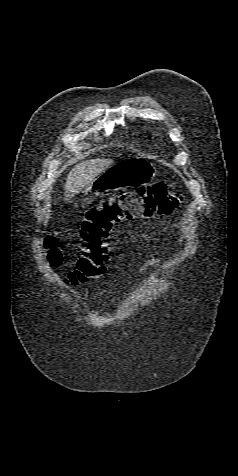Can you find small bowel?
Masks as SVG:
<instances>
[{"label": "small bowel", "instance_id": "obj_1", "mask_svg": "<svg viewBox=\"0 0 238 476\" xmlns=\"http://www.w3.org/2000/svg\"><path fill=\"white\" fill-rule=\"evenodd\" d=\"M119 245H116L113 247V249H118ZM160 263V260L158 258H151L144 263H142L139 267V272L143 273L145 272L149 267L156 266Z\"/></svg>", "mask_w": 238, "mask_h": 476}]
</instances>
